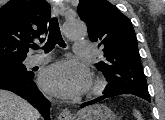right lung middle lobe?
<instances>
[{"mask_svg": "<svg viewBox=\"0 0 165 120\" xmlns=\"http://www.w3.org/2000/svg\"><path fill=\"white\" fill-rule=\"evenodd\" d=\"M24 60L4 61L0 62V75H9L17 77H34V73L28 71L25 65L22 64Z\"/></svg>", "mask_w": 165, "mask_h": 120, "instance_id": "right-lung-middle-lobe-1", "label": "right lung middle lobe"}]
</instances>
